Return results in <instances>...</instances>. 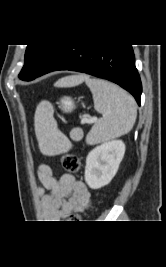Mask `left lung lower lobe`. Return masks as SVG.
I'll return each instance as SVG.
<instances>
[{
  "label": "left lung lower lobe",
  "mask_w": 166,
  "mask_h": 267,
  "mask_svg": "<svg viewBox=\"0 0 166 267\" xmlns=\"http://www.w3.org/2000/svg\"><path fill=\"white\" fill-rule=\"evenodd\" d=\"M58 70L110 80L130 92L140 105L142 85L131 45H61L37 77Z\"/></svg>",
  "instance_id": "left-lung-lower-lobe-1"
}]
</instances>
